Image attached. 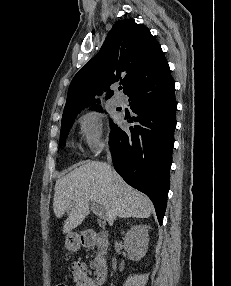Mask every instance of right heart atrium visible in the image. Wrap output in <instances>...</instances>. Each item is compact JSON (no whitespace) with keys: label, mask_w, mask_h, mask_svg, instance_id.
Here are the masks:
<instances>
[{"label":"right heart atrium","mask_w":231,"mask_h":286,"mask_svg":"<svg viewBox=\"0 0 231 286\" xmlns=\"http://www.w3.org/2000/svg\"><path fill=\"white\" fill-rule=\"evenodd\" d=\"M81 138L88 151L96 153L106 144L102 116L96 111H87L79 119Z\"/></svg>","instance_id":"d8ad5b80"}]
</instances>
